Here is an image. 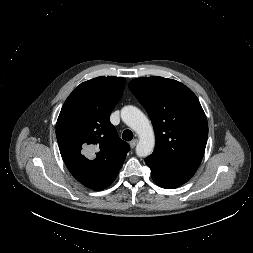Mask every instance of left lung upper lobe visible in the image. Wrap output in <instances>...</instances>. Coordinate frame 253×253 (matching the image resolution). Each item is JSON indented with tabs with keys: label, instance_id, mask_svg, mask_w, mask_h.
Returning <instances> with one entry per match:
<instances>
[{
	"label": "left lung upper lobe",
	"instance_id": "left-lung-upper-lobe-1",
	"mask_svg": "<svg viewBox=\"0 0 253 253\" xmlns=\"http://www.w3.org/2000/svg\"><path fill=\"white\" fill-rule=\"evenodd\" d=\"M129 89L147 110L155 131L156 146L146 160L191 178L208 137L207 118L196 95L176 80L157 76L134 79Z\"/></svg>",
	"mask_w": 253,
	"mask_h": 253
}]
</instances>
